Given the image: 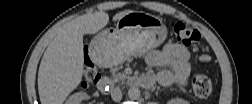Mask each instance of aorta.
Instances as JSON below:
<instances>
[{
    "label": "aorta",
    "mask_w": 252,
    "mask_h": 104,
    "mask_svg": "<svg viewBox=\"0 0 252 104\" xmlns=\"http://www.w3.org/2000/svg\"><path fill=\"white\" fill-rule=\"evenodd\" d=\"M141 92L137 87H131L128 90V97L131 100H137L140 98Z\"/></svg>",
    "instance_id": "obj_1"
}]
</instances>
